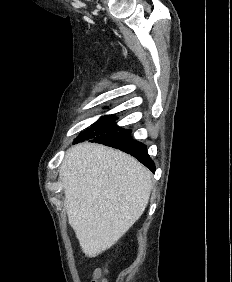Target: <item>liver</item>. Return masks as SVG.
<instances>
[{"label": "liver", "mask_w": 232, "mask_h": 282, "mask_svg": "<svg viewBox=\"0 0 232 282\" xmlns=\"http://www.w3.org/2000/svg\"><path fill=\"white\" fill-rule=\"evenodd\" d=\"M65 210L82 251L96 257L143 214L152 174L130 155L94 143L72 146L60 167Z\"/></svg>", "instance_id": "liver-1"}]
</instances>
